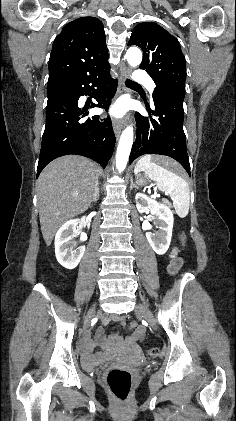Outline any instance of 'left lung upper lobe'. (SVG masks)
<instances>
[{
	"label": "left lung upper lobe",
	"instance_id": "1",
	"mask_svg": "<svg viewBox=\"0 0 236 421\" xmlns=\"http://www.w3.org/2000/svg\"><path fill=\"white\" fill-rule=\"evenodd\" d=\"M131 45L139 46L144 53L140 68L157 86L153 99L164 90L185 94L186 61L179 42L170 33L153 22L139 23L128 42Z\"/></svg>",
	"mask_w": 236,
	"mask_h": 421
}]
</instances>
